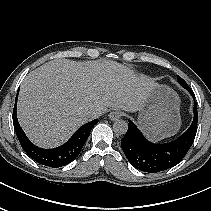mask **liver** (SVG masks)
Returning <instances> with one entry per match:
<instances>
[{
  "mask_svg": "<svg viewBox=\"0 0 211 211\" xmlns=\"http://www.w3.org/2000/svg\"><path fill=\"white\" fill-rule=\"evenodd\" d=\"M156 83L120 63L102 60L49 61L23 80L18 99V120L28 138L52 148L91 120L113 107L139 111Z\"/></svg>",
  "mask_w": 211,
  "mask_h": 211,
  "instance_id": "liver-1",
  "label": "liver"
}]
</instances>
